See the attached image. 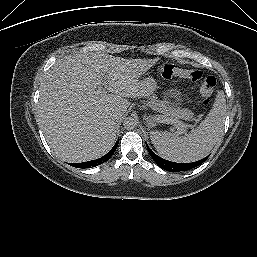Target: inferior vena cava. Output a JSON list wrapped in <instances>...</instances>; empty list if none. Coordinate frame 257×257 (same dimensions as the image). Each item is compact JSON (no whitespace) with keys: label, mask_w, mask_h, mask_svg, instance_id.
<instances>
[{"label":"inferior vena cava","mask_w":257,"mask_h":257,"mask_svg":"<svg viewBox=\"0 0 257 257\" xmlns=\"http://www.w3.org/2000/svg\"><path fill=\"white\" fill-rule=\"evenodd\" d=\"M120 119H121V115H119L117 113L112 115V120L113 121L118 122V121H120Z\"/></svg>","instance_id":"1"}]
</instances>
